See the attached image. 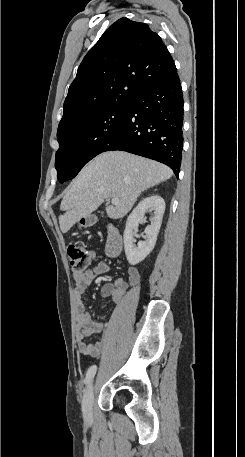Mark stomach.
<instances>
[{"label": "stomach", "instance_id": "0dacf381", "mask_svg": "<svg viewBox=\"0 0 245 457\" xmlns=\"http://www.w3.org/2000/svg\"><path fill=\"white\" fill-rule=\"evenodd\" d=\"M90 224L91 222L89 216H84V218L80 220V226H90Z\"/></svg>", "mask_w": 245, "mask_h": 457}]
</instances>
